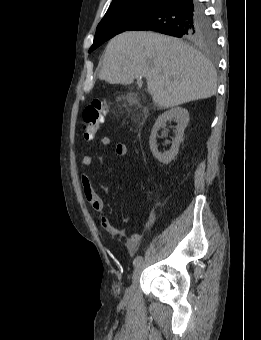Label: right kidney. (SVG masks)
I'll list each match as a JSON object with an SVG mask.
<instances>
[{
    "mask_svg": "<svg viewBox=\"0 0 261 340\" xmlns=\"http://www.w3.org/2000/svg\"><path fill=\"white\" fill-rule=\"evenodd\" d=\"M175 120L178 124L175 127V138L172 141V146L169 151L161 153L158 151V146L156 143V137L158 130L162 127H166L168 121ZM189 122V112L181 107L172 108L158 117L156 120L151 136H150V149L153 156L163 164H169L177 155L179 150V145L183 139L184 130Z\"/></svg>",
    "mask_w": 261,
    "mask_h": 340,
    "instance_id": "1",
    "label": "right kidney"
}]
</instances>
